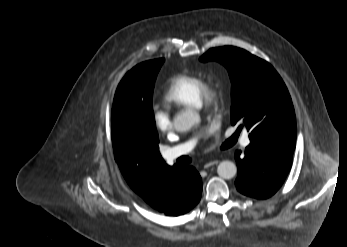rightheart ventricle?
Listing matches in <instances>:
<instances>
[{
	"mask_svg": "<svg viewBox=\"0 0 347 247\" xmlns=\"http://www.w3.org/2000/svg\"><path fill=\"white\" fill-rule=\"evenodd\" d=\"M203 79L195 74L180 73L171 77L163 92V101L175 107H199Z\"/></svg>",
	"mask_w": 347,
	"mask_h": 247,
	"instance_id": "1",
	"label": "right heart ventricle"
}]
</instances>
